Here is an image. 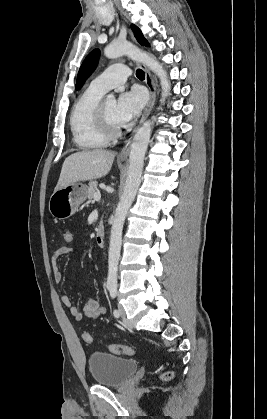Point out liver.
Masks as SVG:
<instances>
[{
  "label": "liver",
  "instance_id": "obj_1",
  "mask_svg": "<svg viewBox=\"0 0 267 419\" xmlns=\"http://www.w3.org/2000/svg\"><path fill=\"white\" fill-rule=\"evenodd\" d=\"M116 153L109 150L94 149L76 152L68 156L61 169L55 190L71 183L101 178L111 170Z\"/></svg>",
  "mask_w": 267,
  "mask_h": 419
}]
</instances>
